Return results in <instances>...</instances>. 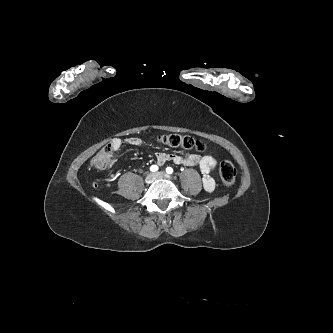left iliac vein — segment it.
Returning <instances> with one entry per match:
<instances>
[{
  "label": "left iliac vein",
  "mask_w": 333,
  "mask_h": 333,
  "mask_svg": "<svg viewBox=\"0 0 333 333\" xmlns=\"http://www.w3.org/2000/svg\"><path fill=\"white\" fill-rule=\"evenodd\" d=\"M155 178L164 179V178H169V176L167 174H165L164 172H157V173H155Z\"/></svg>",
  "instance_id": "obj_1"
}]
</instances>
